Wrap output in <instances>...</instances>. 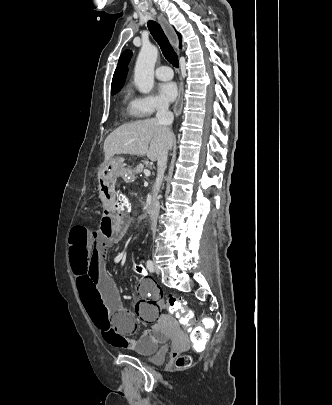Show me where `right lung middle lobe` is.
Instances as JSON below:
<instances>
[{
	"label": "right lung middle lobe",
	"mask_w": 332,
	"mask_h": 405,
	"mask_svg": "<svg viewBox=\"0 0 332 405\" xmlns=\"http://www.w3.org/2000/svg\"><path fill=\"white\" fill-rule=\"evenodd\" d=\"M122 86H123V83H121V84H119V85H117L115 87H112L111 88L112 95H115L117 92H119Z\"/></svg>",
	"instance_id": "obj_1"
}]
</instances>
